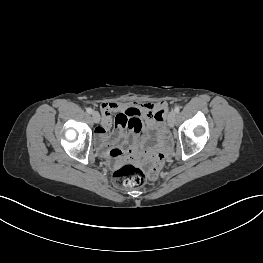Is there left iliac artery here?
Masks as SVG:
<instances>
[{
    "mask_svg": "<svg viewBox=\"0 0 263 263\" xmlns=\"http://www.w3.org/2000/svg\"><path fill=\"white\" fill-rule=\"evenodd\" d=\"M174 111H175L176 113H178V112L180 111V107H179V106L175 107Z\"/></svg>",
    "mask_w": 263,
    "mask_h": 263,
    "instance_id": "left-iliac-artery-1",
    "label": "left iliac artery"
}]
</instances>
